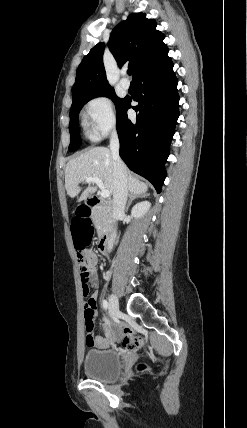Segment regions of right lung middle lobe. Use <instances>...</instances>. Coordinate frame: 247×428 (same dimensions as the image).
I'll return each mask as SVG.
<instances>
[{
	"mask_svg": "<svg viewBox=\"0 0 247 428\" xmlns=\"http://www.w3.org/2000/svg\"><path fill=\"white\" fill-rule=\"evenodd\" d=\"M98 96H106L113 100L116 106V111L120 109L125 99H121L117 97L113 91V89L97 92L94 94H90L88 96H85L81 98L80 100L72 103L71 109H70V123H69V131L71 135V141L69 145V150L71 152H74L77 150L81 145V138L79 136V129H78V115L81 110V108L91 99L98 97Z\"/></svg>",
	"mask_w": 247,
	"mask_h": 428,
	"instance_id": "dd1d6c3e",
	"label": "right lung middle lobe"
}]
</instances>
